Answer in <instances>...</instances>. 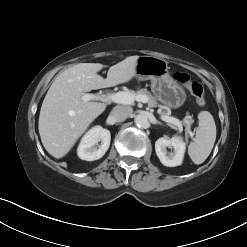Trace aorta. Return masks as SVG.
I'll return each instance as SVG.
<instances>
[{
	"instance_id": "aorta-1",
	"label": "aorta",
	"mask_w": 247,
	"mask_h": 247,
	"mask_svg": "<svg viewBox=\"0 0 247 247\" xmlns=\"http://www.w3.org/2000/svg\"><path fill=\"white\" fill-rule=\"evenodd\" d=\"M135 124L140 127V128H147L149 125V121L147 119V117L143 114H139L135 117L134 120Z\"/></svg>"
}]
</instances>
